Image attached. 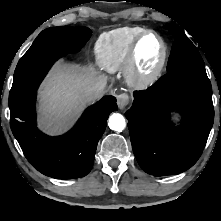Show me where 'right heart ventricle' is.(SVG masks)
Returning <instances> with one entry per match:
<instances>
[{"label": "right heart ventricle", "instance_id": "right-heart-ventricle-1", "mask_svg": "<svg viewBox=\"0 0 221 221\" xmlns=\"http://www.w3.org/2000/svg\"><path fill=\"white\" fill-rule=\"evenodd\" d=\"M145 30L139 26H127L101 34L95 44L100 66L109 72L124 69L134 40Z\"/></svg>", "mask_w": 221, "mask_h": 221}]
</instances>
